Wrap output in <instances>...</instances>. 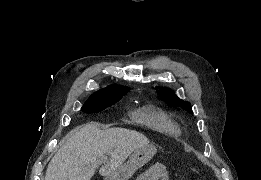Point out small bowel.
Segmentation results:
<instances>
[{
	"label": "small bowel",
	"mask_w": 261,
	"mask_h": 180,
	"mask_svg": "<svg viewBox=\"0 0 261 180\" xmlns=\"http://www.w3.org/2000/svg\"><path fill=\"white\" fill-rule=\"evenodd\" d=\"M168 178L167 168L161 164L156 163L149 169L141 173L138 177L139 180H165Z\"/></svg>",
	"instance_id": "1"
}]
</instances>
